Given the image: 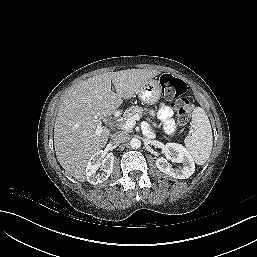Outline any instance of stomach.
Here are the masks:
<instances>
[{"instance_id":"obj_1","label":"stomach","mask_w":257,"mask_h":257,"mask_svg":"<svg viewBox=\"0 0 257 257\" xmlns=\"http://www.w3.org/2000/svg\"><path fill=\"white\" fill-rule=\"evenodd\" d=\"M140 101L147 105L156 104L161 96V87L157 80L149 79L137 91Z\"/></svg>"}]
</instances>
